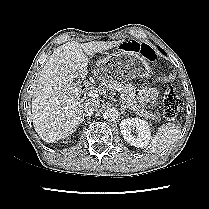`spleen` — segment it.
I'll list each match as a JSON object with an SVG mask.
<instances>
[{"mask_svg":"<svg viewBox=\"0 0 209 209\" xmlns=\"http://www.w3.org/2000/svg\"><path fill=\"white\" fill-rule=\"evenodd\" d=\"M180 128L174 123L163 124L148 145L150 153H158L171 146L180 135Z\"/></svg>","mask_w":209,"mask_h":209,"instance_id":"1","label":"spleen"}]
</instances>
